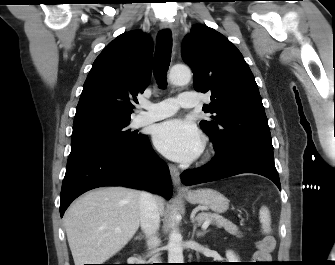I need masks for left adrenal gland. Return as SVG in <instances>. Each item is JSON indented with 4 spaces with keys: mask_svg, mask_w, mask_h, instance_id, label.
<instances>
[{
    "mask_svg": "<svg viewBox=\"0 0 335 265\" xmlns=\"http://www.w3.org/2000/svg\"><path fill=\"white\" fill-rule=\"evenodd\" d=\"M196 228V226H195ZM207 232H209V230H204V231H201V232H196V236L197 237H203Z\"/></svg>",
    "mask_w": 335,
    "mask_h": 265,
    "instance_id": "left-adrenal-gland-1",
    "label": "left adrenal gland"
}]
</instances>
